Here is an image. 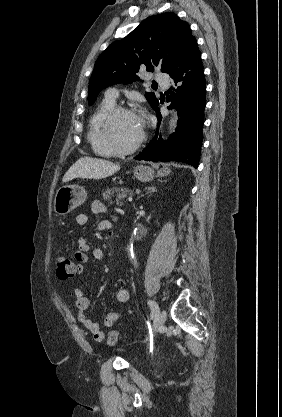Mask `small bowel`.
I'll list each match as a JSON object with an SVG mask.
<instances>
[{"instance_id":"obj_1","label":"small bowel","mask_w":282,"mask_h":417,"mask_svg":"<svg viewBox=\"0 0 282 417\" xmlns=\"http://www.w3.org/2000/svg\"><path fill=\"white\" fill-rule=\"evenodd\" d=\"M92 213L95 215L106 216L107 219L100 221L96 229L98 231H107L113 233L114 228L117 224V219L112 215L105 204L99 200H95L91 205ZM76 223L79 226H87L90 223V217L87 213H79L76 216ZM91 253V256L96 261H102L105 258V251L99 245H91L87 238L81 237L78 241V248L74 253V258L76 260V272L81 274L84 271L85 264L89 261L88 253ZM74 298L77 308V318L80 324L84 329L89 331L95 341L101 342L104 340L105 334L101 330L100 326L94 322L88 315L87 310L89 308L90 302L86 297L82 289H75ZM130 299V291L127 288H119L116 292V300L119 303H127ZM121 319V315L118 312H109L105 315L103 324L105 327H113Z\"/></svg>"}]
</instances>
